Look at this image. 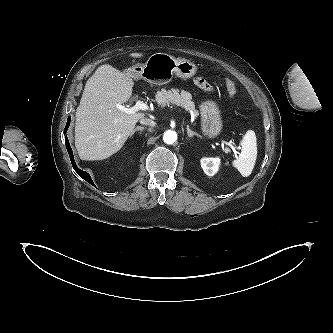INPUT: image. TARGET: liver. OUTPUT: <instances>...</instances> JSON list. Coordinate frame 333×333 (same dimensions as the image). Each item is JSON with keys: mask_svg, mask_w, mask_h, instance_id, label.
<instances>
[{"mask_svg": "<svg viewBox=\"0 0 333 333\" xmlns=\"http://www.w3.org/2000/svg\"><path fill=\"white\" fill-rule=\"evenodd\" d=\"M143 54L131 53L141 58ZM134 81L129 73L109 64L101 65L87 80L76 111L75 146L83 160H102L119 151L145 115L126 114L116 108L132 95Z\"/></svg>", "mask_w": 333, "mask_h": 333, "instance_id": "obj_1", "label": "liver"}]
</instances>
